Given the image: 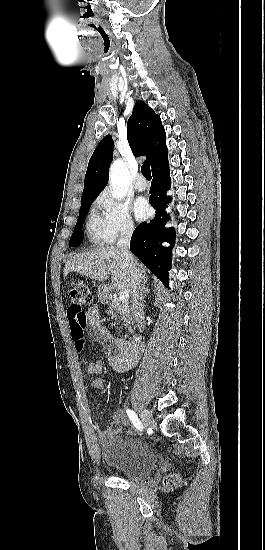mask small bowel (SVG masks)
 Listing matches in <instances>:
<instances>
[{
    "label": "small bowel",
    "mask_w": 265,
    "mask_h": 550,
    "mask_svg": "<svg viewBox=\"0 0 265 550\" xmlns=\"http://www.w3.org/2000/svg\"><path fill=\"white\" fill-rule=\"evenodd\" d=\"M86 322L83 326V333L86 330L96 342L113 346L112 350L108 354V360L111 366L119 372H125L132 369L138 361V351L133 350L127 341L122 339H113L108 330L100 323L99 309L96 306L89 308L85 313ZM82 336L74 339L75 349L77 352H81L83 349L84 338ZM85 371L92 375L90 380V387L93 390L102 389L104 387L103 380L99 377L103 372V363L101 361L88 362L85 364ZM112 417L114 421L125 424L126 416L120 409L114 410ZM99 439L102 445L107 446L112 438L109 432L101 429L97 430Z\"/></svg>",
    "instance_id": "obj_1"
}]
</instances>
